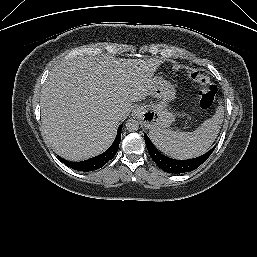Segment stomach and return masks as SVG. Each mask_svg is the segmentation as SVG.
<instances>
[{
    "instance_id": "obj_1",
    "label": "stomach",
    "mask_w": 257,
    "mask_h": 257,
    "mask_svg": "<svg viewBox=\"0 0 257 257\" xmlns=\"http://www.w3.org/2000/svg\"><path fill=\"white\" fill-rule=\"evenodd\" d=\"M150 95L161 100L152 106H139L133 110L136 116L143 119L144 124L151 131L166 129L174 121V114L167 108V102L175 99L176 90L170 81L162 77L151 79Z\"/></svg>"
}]
</instances>
